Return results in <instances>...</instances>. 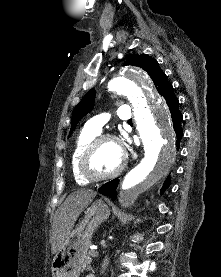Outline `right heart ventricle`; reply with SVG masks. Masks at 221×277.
<instances>
[{
  "instance_id": "e07e8e85",
  "label": "right heart ventricle",
  "mask_w": 221,
  "mask_h": 277,
  "mask_svg": "<svg viewBox=\"0 0 221 277\" xmlns=\"http://www.w3.org/2000/svg\"><path fill=\"white\" fill-rule=\"evenodd\" d=\"M98 133L93 132L87 128H84L78 135L71 155V170L74 180L80 184H87L89 181L86 180L79 171V161L81 155L88 144L96 137Z\"/></svg>"
}]
</instances>
